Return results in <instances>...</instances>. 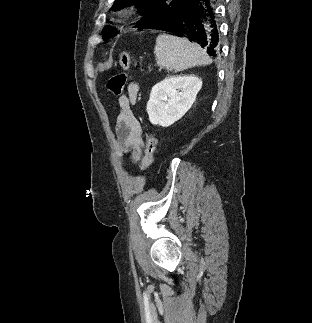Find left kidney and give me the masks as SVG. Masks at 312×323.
<instances>
[{
    "mask_svg": "<svg viewBox=\"0 0 312 323\" xmlns=\"http://www.w3.org/2000/svg\"><path fill=\"white\" fill-rule=\"evenodd\" d=\"M202 88V80L197 76H169L153 86L147 112L151 124L172 126L190 110Z\"/></svg>",
    "mask_w": 312,
    "mask_h": 323,
    "instance_id": "obj_1",
    "label": "left kidney"
}]
</instances>
